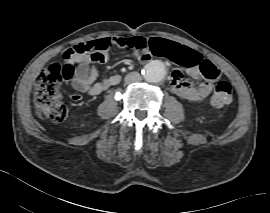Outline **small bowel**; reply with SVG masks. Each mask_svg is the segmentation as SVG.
<instances>
[{"instance_id": "c3829d8e", "label": "small bowel", "mask_w": 270, "mask_h": 213, "mask_svg": "<svg viewBox=\"0 0 270 213\" xmlns=\"http://www.w3.org/2000/svg\"><path fill=\"white\" fill-rule=\"evenodd\" d=\"M117 41L118 38L108 37L80 42L72 47L75 50H83L75 58L69 60L76 65L71 85L77 92L95 96L120 82V76L116 74L96 82L98 69L95 64L107 60L109 52L118 47ZM135 56L137 60H146L152 56H158L174 62L176 67L171 72L172 89L187 101L201 100L212 91V86L208 81L192 84L183 80L184 75H188L193 80L202 77L200 67L203 61L200 54L195 50L171 40L157 38L153 45L146 47L139 55ZM80 98L78 94L73 95L75 101L80 100Z\"/></svg>"}]
</instances>
